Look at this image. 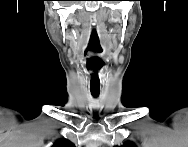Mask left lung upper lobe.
I'll list each match as a JSON object with an SVG mask.
<instances>
[{"mask_svg":"<svg viewBox=\"0 0 188 147\" xmlns=\"http://www.w3.org/2000/svg\"><path fill=\"white\" fill-rule=\"evenodd\" d=\"M123 147H135V145L131 142H127L123 145Z\"/></svg>","mask_w":188,"mask_h":147,"instance_id":"5c2ea615","label":"left lung upper lobe"}]
</instances>
